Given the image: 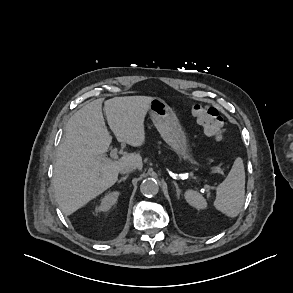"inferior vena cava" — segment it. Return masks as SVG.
<instances>
[{
    "mask_svg": "<svg viewBox=\"0 0 293 293\" xmlns=\"http://www.w3.org/2000/svg\"><path fill=\"white\" fill-rule=\"evenodd\" d=\"M135 169H137L135 164H132V163L125 164L120 168V173L122 174L129 173Z\"/></svg>",
    "mask_w": 293,
    "mask_h": 293,
    "instance_id": "1",
    "label": "inferior vena cava"
}]
</instances>
